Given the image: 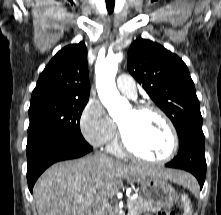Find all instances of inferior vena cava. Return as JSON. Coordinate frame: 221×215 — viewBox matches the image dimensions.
I'll use <instances>...</instances> for the list:
<instances>
[{
  "label": "inferior vena cava",
  "instance_id": "inferior-vena-cava-1",
  "mask_svg": "<svg viewBox=\"0 0 221 215\" xmlns=\"http://www.w3.org/2000/svg\"><path fill=\"white\" fill-rule=\"evenodd\" d=\"M96 157L100 158L101 160H107L106 156L100 153H96ZM107 209H108V202L106 201H98L94 204L92 208V214L93 215H107Z\"/></svg>",
  "mask_w": 221,
  "mask_h": 215
}]
</instances>
